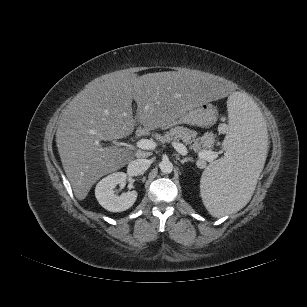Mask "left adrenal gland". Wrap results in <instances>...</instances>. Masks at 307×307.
Returning <instances> with one entry per match:
<instances>
[{
  "instance_id": "obj_1",
  "label": "left adrenal gland",
  "mask_w": 307,
  "mask_h": 307,
  "mask_svg": "<svg viewBox=\"0 0 307 307\" xmlns=\"http://www.w3.org/2000/svg\"><path fill=\"white\" fill-rule=\"evenodd\" d=\"M179 161L181 162V164H184L185 162H193L192 158L191 157H186L184 159H179Z\"/></svg>"
}]
</instances>
